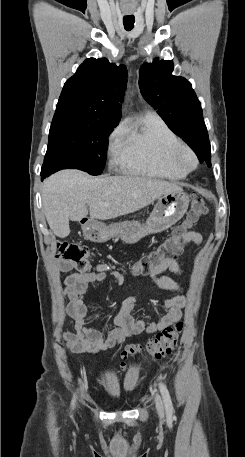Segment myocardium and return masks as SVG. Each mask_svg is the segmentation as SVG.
<instances>
[{
	"instance_id": "obj_1",
	"label": "myocardium",
	"mask_w": 245,
	"mask_h": 457,
	"mask_svg": "<svg viewBox=\"0 0 245 457\" xmlns=\"http://www.w3.org/2000/svg\"><path fill=\"white\" fill-rule=\"evenodd\" d=\"M183 156L188 158V164L182 160ZM156 159L162 165L179 169L185 173L193 171L198 165L197 156L184 142H180L165 151L158 152Z\"/></svg>"
}]
</instances>
